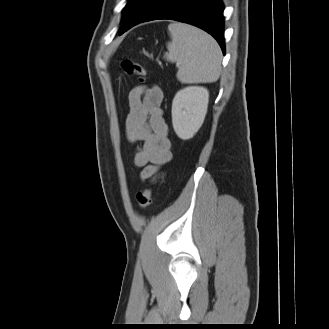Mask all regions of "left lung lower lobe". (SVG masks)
I'll use <instances>...</instances> for the list:
<instances>
[{"label":"left lung lower lobe","mask_w":329,"mask_h":329,"mask_svg":"<svg viewBox=\"0 0 329 329\" xmlns=\"http://www.w3.org/2000/svg\"><path fill=\"white\" fill-rule=\"evenodd\" d=\"M223 10L221 0H147L133 12L119 34L151 20H176L208 32L217 40L225 54Z\"/></svg>","instance_id":"0a47b994"}]
</instances>
